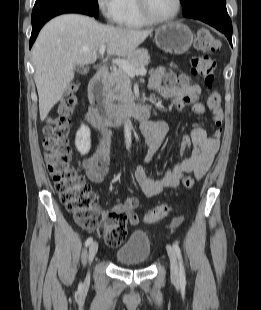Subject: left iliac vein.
<instances>
[{
  "label": "left iliac vein",
  "instance_id": "1",
  "mask_svg": "<svg viewBox=\"0 0 261 310\" xmlns=\"http://www.w3.org/2000/svg\"><path fill=\"white\" fill-rule=\"evenodd\" d=\"M167 253L170 260V272H171V278L174 281H178L179 279V270H178V263H177V257L175 254L174 249L167 245Z\"/></svg>",
  "mask_w": 261,
  "mask_h": 310
}]
</instances>
